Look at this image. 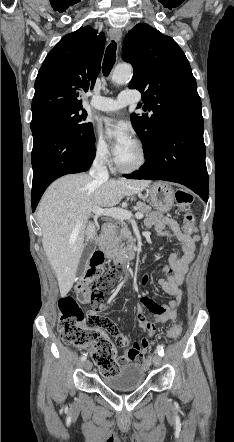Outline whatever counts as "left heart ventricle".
Returning <instances> with one entry per match:
<instances>
[{"label":"left heart ventricle","mask_w":234,"mask_h":442,"mask_svg":"<svg viewBox=\"0 0 234 442\" xmlns=\"http://www.w3.org/2000/svg\"><path fill=\"white\" fill-rule=\"evenodd\" d=\"M117 158L118 161L124 166L134 165L139 159L138 150L135 144H133L125 153H123Z\"/></svg>","instance_id":"b2bd125f"}]
</instances>
